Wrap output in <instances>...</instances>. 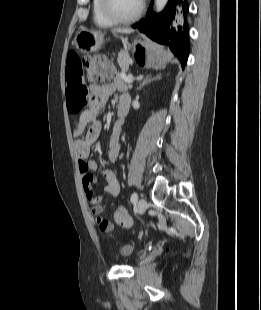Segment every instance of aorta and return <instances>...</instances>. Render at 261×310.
I'll list each match as a JSON object with an SVG mask.
<instances>
[{
	"label": "aorta",
	"mask_w": 261,
	"mask_h": 310,
	"mask_svg": "<svg viewBox=\"0 0 261 310\" xmlns=\"http://www.w3.org/2000/svg\"><path fill=\"white\" fill-rule=\"evenodd\" d=\"M168 0H155V9L157 12L162 11L166 4H167Z\"/></svg>",
	"instance_id": "1"
}]
</instances>
